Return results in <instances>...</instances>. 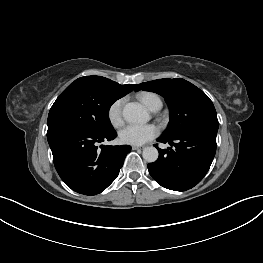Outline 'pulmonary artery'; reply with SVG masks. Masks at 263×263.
Segmentation results:
<instances>
[{
	"label": "pulmonary artery",
	"mask_w": 263,
	"mask_h": 263,
	"mask_svg": "<svg viewBox=\"0 0 263 263\" xmlns=\"http://www.w3.org/2000/svg\"><path fill=\"white\" fill-rule=\"evenodd\" d=\"M161 106V104H158L152 111L157 112L158 110H160Z\"/></svg>",
	"instance_id": "e3ab8cb5"
}]
</instances>
